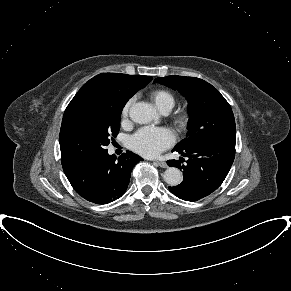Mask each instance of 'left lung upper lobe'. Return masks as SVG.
<instances>
[{
	"label": "left lung upper lobe",
	"instance_id": "obj_1",
	"mask_svg": "<svg viewBox=\"0 0 291 291\" xmlns=\"http://www.w3.org/2000/svg\"><path fill=\"white\" fill-rule=\"evenodd\" d=\"M155 82L178 90L188 100L187 137L175 148L191 147L213 139H235L232 109L211 84L199 78L177 75L156 78Z\"/></svg>",
	"mask_w": 291,
	"mask_h": 291
}]
</instances>
